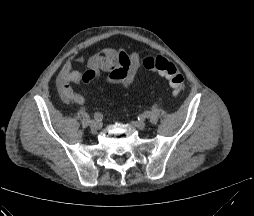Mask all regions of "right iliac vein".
Here are the masks:
<instances>
[{
  "mask_svg": "<svg viewBox=\"0 0 254 216\" xmlns=\"http://www.w3.org/2000/svg\"><path fill=\"white\" fill-rule=\"evenodd\" d=\"M89 126L92 132H97L100 129L101 124L97 121H91Z\"/></svg>",
  "mask_w": 254,
  "mask_h": 216,
  "instance_id": "1",
  "label": "right iliac vein"
}]
</instances>
